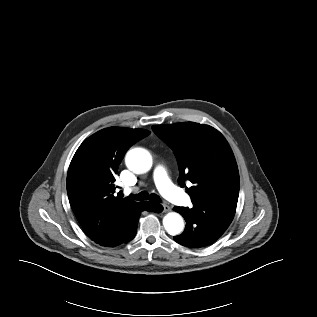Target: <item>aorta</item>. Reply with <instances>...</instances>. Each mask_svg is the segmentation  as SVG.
<instances>
[{
  "instance_id": "obj_1",
  "label": "aorta",
  "mask_w": 317,
  "mask_h": 317,
  "mask_svg": "<svg viewBox=\"0 0 317 317\" xmlns=\"http://www.w3.org/2000/svg\"><path fill=\"white\" fill-rule=\"evenodd\" d=\"M127 167L137 174L148 172L153 164L152 155L143 148H134L125 157ZM163 226L170 235H178L184 229V221L177 212H169L163 218Z\"/></svg>"
}]
</instances>
